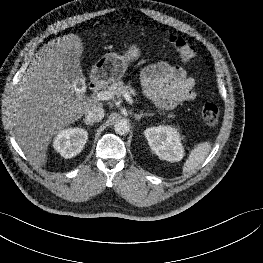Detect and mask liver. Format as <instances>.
Segmentation results:
<instances>
[{"label":"liver","instance_id":"liver-1","mask_svg":"<svg viewBox=\"0 0 263 263\" xmlns=\"http://www.w3.org/2000/svg\"><path fill=\"white\" fill-rule=\"evenodd\" d=\"M72 51L80 66L82 40L68 34L49 41L31 62L11 99L10 120L15 139L34 165L47 162L48 146L54 135L80 119L94 99L75 97L64 57ZM81 68V66H80Z\"/></svg>","mask_w":263,"mask_h":263}]
</instances>
